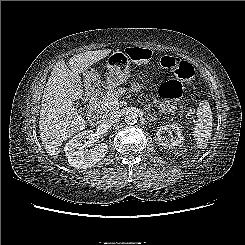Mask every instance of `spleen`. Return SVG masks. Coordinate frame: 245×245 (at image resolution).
Here are the masks:
<instances>
[{
	"instance_id": "1",
	"label": "spleen",
	"mask_w": 245,
	"mask_h": 245,
	"mask_svg": "<svg viewBox=\"0 0 245 245\" xmlns=\"http://www.w3.org/2000/svg\"><path fill=\"white\" fill-rule=\"evenodd\" d=\"M197 123L193 130L196 144L198 148L207 147L212 134V111L208 101L203 100L197 109Z\"/></svg>"
}]
</instances>
